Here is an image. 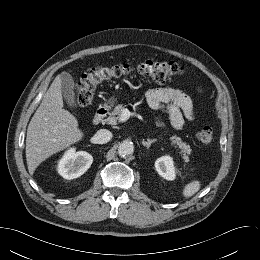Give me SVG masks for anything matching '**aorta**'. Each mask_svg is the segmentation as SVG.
<instances>
[{
	"label": "aorta",
	"instance_id": "aorta-1",
	"mask_svg": "<svg viewBox=\"0 0 260 260\" xmlns=\"http://www.w3.org/2000/svg\"><path fill=\"white\" fill-rule=\"evenodd\" d=\"M134 152V145L131 141L125 140L119 144L118 154L121 157H127Z\"/></svg>",
	"mask_w": 260,
	"mask_h": 260
}]
</instances>
